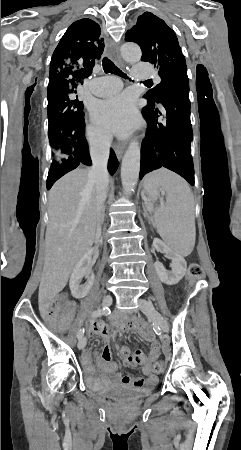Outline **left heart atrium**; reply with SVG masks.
<instances>
[{
	"label": "left heart atrium",
	"mask_w": 241,
	"mask_h": 450,
	"mask_svg": "<svg viewBox=\"0 0 241 450\" xmlns=\"http://www.w3.org/2000/svg\"><path fill=\"white\" fill-rule=\"evenodd\" d=\"M91 118L100 129L119 136L128 134L140 123L135 100L128 93L97 102L91 111Z\"/></svg>",
	"instance_id": "39dd6f15"
}]
</instances>
